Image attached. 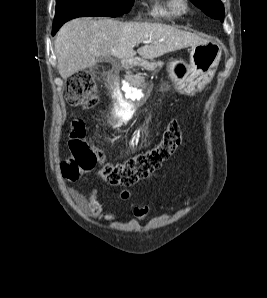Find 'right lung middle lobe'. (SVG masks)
<instances>
[{
  "instance_id": "dd1d6c3e",
  "label": "right lung middle lobe",
  "mask_w": 267,
  "mask_h": 298,
  "mask_svg": "<svg viewBox=\"0 0 267 298\" xmlns=\"http://www.w3.org/2000/svg\"><path fill=\"white\" fill-rule=\"evenodd\" d=\"M134 0H57L54 23L82 16L118 17L128 13Z\"/></svg>"
}]
</instances>
